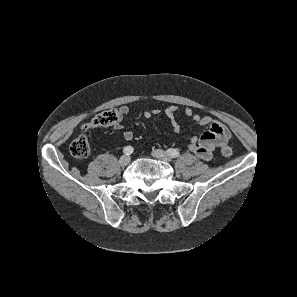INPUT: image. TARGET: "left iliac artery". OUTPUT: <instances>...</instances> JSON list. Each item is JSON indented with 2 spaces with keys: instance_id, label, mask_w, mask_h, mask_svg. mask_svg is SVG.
Returning a JSON list of instances; mask_svg holds the SVG:
<instances>
[{
  "instance_id": "left-iliac-artery-1",
  "label": "left iliac artery",
  "mask_w": 297,
  "mask_h": 297,
  "mask_svg": "<svg viewBox=\"0 0 297 297\" xmlns=\"http://www.w3.org/2000/svg\"><path fill=\"white\" fill-rule=\"evenodd\" d=\"M167 153L169 156H171L172 158H176L180 155V152L178 149H173V148H170L167 150Z\"/></svg>"
}]
</instances>
